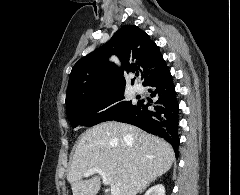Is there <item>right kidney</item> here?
<instances>
[{
	"label": "right kidney",
	"instance_id": "obj_1",
	"mask_svg": "<svg viewBox=\"0 0 240 195\" xmlns=\"http://www.w3.org/2000/svg\"><path fill=\"white\" fill-rule=\"evenodd\" d=\"M144 195H165V187L162 183H157V185L149 187Z\"/></svg>",
	"mask_w": 240,
	"mask_h": 195
}]
</instances>
